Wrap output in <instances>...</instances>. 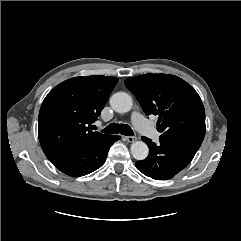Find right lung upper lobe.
Returning <instances> with one entry per match:
<instances>
[{"label":"right lung upper lobe","instance_id":"right-lung-upper-lobe-1","mask_svg":"<svg viewBox=\"0 0 241 241\" xmlns=\"http://www.w3.org/2000/svg\"><path fill=\"white\" fill-rule=\"evenodd\" d=\"M117 82L111 76L75 77L48 93L38 119L39 141L47 158L107 136L93 132L90 125L97 120Z\"/></svg>","mask_w":241,"mask_h":241}]
</instances>
